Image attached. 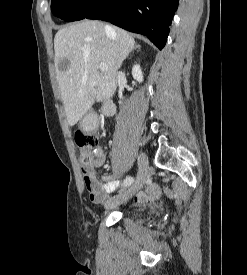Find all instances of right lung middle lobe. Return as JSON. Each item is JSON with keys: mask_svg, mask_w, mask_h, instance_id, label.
Returning <instances> with one entry per match:
<instances>
[{"mask_svg": "<svg viewBox=\"0 0 247 275\" xmlns=\"http://www.w3.org/2000/svg\"><path fill=\"white\" fill-rule=\"evenodd\" d=\"M105 0H52L51 9L55 16L65 21L82 20Z\"/></svg>", "mask_w": 247, "mask_h": 275, "instance_id": "obj_1", "label": "right lung middle lobe"}]
</instances>
